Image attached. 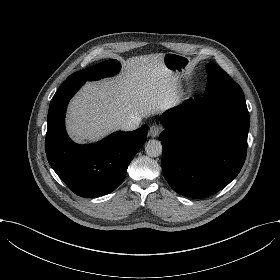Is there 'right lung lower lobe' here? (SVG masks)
Listing matches in <instances>:
<instances>
[{
	"mask_svg": "<svg viewBox=\"0 0 280 280\" xmlns=\"http://www.w3.org/2000/svg\"><path fill=\"white\" fill-rule=\"evenodd\" d=\"M85 82L65 80L53 96L45 150L50 166L62 181L78 196L89 198L106 195L123 182L128 165L146 140L148 126L114 133L96 144L73 143L65 130V111Z\"/></svg>",
	"mask_w": 280,
	"mask_h": 280,
	"instance_id": "1",
	"label": "right lung lower lobe"
}]
</instances>
